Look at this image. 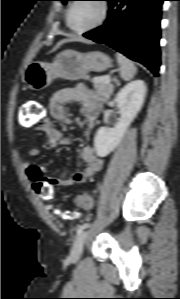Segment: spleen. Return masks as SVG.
I'll return each instance as SVG.
<instances>
[{
  "instance_id": "3e777b00",
  "label": "spleen",
  "mask_w": 180,
  "mask_h": 299,
  "mask_svg": "<svg viewBox=\"0 0 180 299\" xmlns=\"http://www.w3.org/2000/svg\"><path fill=\"white\" fill-rule=\"evenodd\" d=\"M117 62L119 65L120 77L125 81L133 79L136 73V67L134 63L120 53H116Z\"/></svg>"
}]
</instances>
